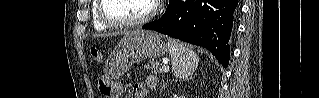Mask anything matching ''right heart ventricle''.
Here are the masks:
<instances>
[{"mask_svg":"<svg viewBox=\"0 0 319 98\" xmlns=\"http://www.w3.org/2000/svg\"><path fill=\"white\" fill-rule=\"evenodd\" d=\"M98 4L99 1H94L93 5H92V24H93V28L97 31H104L107 30L109 28L108 25L104 24L99 16H98Z\"/></svg>","mask_w":319,"mask_h":98,"instance_id":"e07e8e85","label":"right heart ventricle"}]
</instances>
